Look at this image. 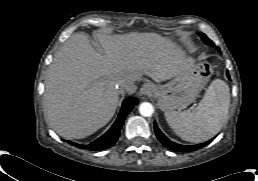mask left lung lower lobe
I'll list each match as a JSON object with an SVG mask.
<instances>
[{"instance_id": "1", "label": "left lung lower lobe", "mask_w": 258, "mask_h": 181, "mask_svg": "<svg viewBox=\"0 0 258 181\" xmlns=\"http://www.w3.org/2000/svg\"><path fill=\"white\" fill-rule=\"evenodd\" d=\"M227 76L229 77L228 75V72H227ZM154 129H155V132H156V136L158 138V140L163 144L164 147L168 148V149H171L173 151H183V152H189V151H193V150H198L202 147H204L205 145L209 144L213 139L205 142V143H202V144H198V145H193V146H184V145H180V144H177L175 142H172L170 141L161 131L160 129L157 127V124L154 123Z\"/></svg>"}]
</instances>
